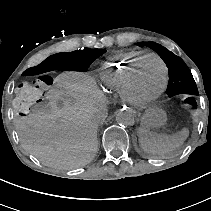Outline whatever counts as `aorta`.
<instances>
[{
  "label": "aorta",
  "instance_id": "aorta-1",
  "mask_svg": "<svg viewBox=\"0 0 211 211\" xmlns=\"http://www.w3.org/2000/svg\"><path fill=\"white\" fill-rule=\"evenodd\" d=\"M116 122L120 126H133L135 123V117L130 110H120L116 115Z\"/></svg>",
  "mask_w": 211,
  "mask_h": 211
}]
</instances>
